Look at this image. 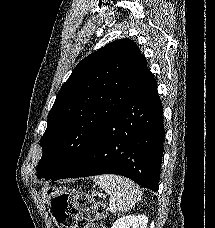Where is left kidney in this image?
<instances>
[{"label":"left kidney","instance_id":"5707ae66","mask_svg":"<svg viewBox=\"0 0 215 228\" xmlns=\"http://www.w3.org/2000/svg\"><path fill=\"white\" fill-rule=\"evenodd\" d=\"M147 224V216L140 214V216H123L114 222L112 228H147Z\"/></svg>","mask_w":215,"mask_h":228}]
</instances>
